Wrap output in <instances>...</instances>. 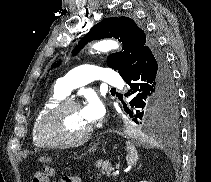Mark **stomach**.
I'll return each mask as SVG.
<instances>
[{
    "mask_svg": "<svg viewBox=\"0 0 211 182\" xmlns=\"http://www.w3.org/2000/svg\"><path fill=\"white\" fill-rule=\"evenodd\" d=\"M97 144L92 145V147L90 148V151H94L96 149Z\"/></svg>",
    "mask_w": 211,
    "mask_h": 182,
    "instance_id": "stomach-1",
    "label": "stomach"
}]
</instances>
